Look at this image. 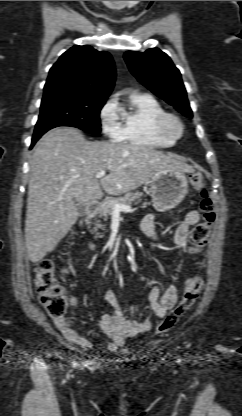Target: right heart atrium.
Instances as JSON below:
<instances>
[{
	"label": "right heart atrium",
	"instance_id": "d8ad5b80",
	"mask_svg": "<svg viewBox=\"0 0 242 416\" xmlns=\"http://www.w3.org/2000/svg\"><path fill=\"white\" fill-rule=\"evenodd\" d=\"M99 120L103 133L115 139L122 125L118 102L115 97H110L105 101L99 111Z\"/></svg>",
	"mask_w": 242,
	"mask_h": 416
}]
</instances>
